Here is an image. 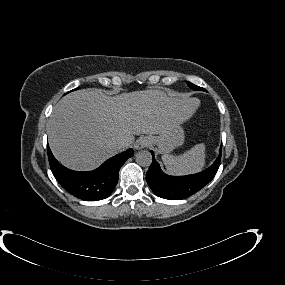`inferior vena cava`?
<instances>
[{"label":"inferior vena cava","mask_w":285,"mask_h":285,"mask_svg":"<svg viewBox=\"0 0 285 285\" xmlns=\"http://www.w3.org/2000/svg\"><path fill=\"white\" fill-rule=\"evenodd\" d=\"M126 143L124 141H119L115 144V147L118 151H121L125 148Z\"/></svg>","instance_id":"1"}]
</instances>
